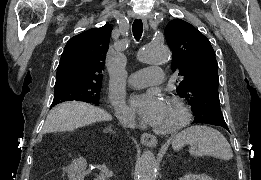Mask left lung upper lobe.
I'll use <instances>...</instances> for the list:
<instances>
[{
    "mask_svg": "<svg viewBox=\"0 0 261 180\" xmlns=\"http://www.w3.org/2000/svg\"><path fill=\"white\" fill-rule=\"evenodd\" d=\"M173 52L172 71L182 77L176 92L192 106L194 122L226 124L218 94V64L209 40L193 25L175 19L165 28Z\"/></svg>",
    "mask_w": 261,
    "mask_h": 180,
    "instance_id": "5c2ea615",
    "label": "left lung upper lobe"
}]
</instances>
